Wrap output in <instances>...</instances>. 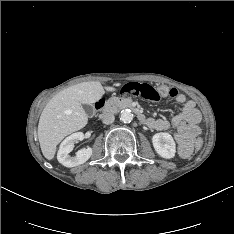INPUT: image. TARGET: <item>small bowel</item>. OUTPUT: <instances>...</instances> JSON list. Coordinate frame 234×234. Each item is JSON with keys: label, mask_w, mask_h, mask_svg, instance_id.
Listing matches in <instances>:
<instances>
[{"label": "small bowel", "mask_w": 234, "mask_h": 234, "mask_svg": "<svg viewBox=\"0 0 234 234\" xmlns=\"http://www.w3.org/2000/svg\"><path fill=\"white\" fill-rule=\"evenodd\" d=\"M171 97L183 108L169 121L166 119L148 118L147 126L158 131H173L181 156H188L191 152L192 142L200 134L201 114L191 100L179 93L175 88L170 89Z\"/></svg>", "instance_id": "small-bowel-1"}]
</instances>
